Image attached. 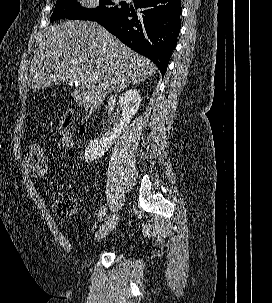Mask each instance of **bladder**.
Wrapping results in <instances>:
<instances>
[{
	"instance_id": "31cf9c89",
	"label": "bladder",
	"mask_w": 272,
	"mask_h": 303,
	"mask_svg": "<svg viewBox=\"0 0 272 303\" xmlns=\"http://www.w3.org/2000/svg\"><path fill=\"white\" fill-rule=\"evenodd\" d=\"M123 250H124V248L120 247L118 251H119V252H120V251L122 252Z\"/></svg>"
}]
</instances>
